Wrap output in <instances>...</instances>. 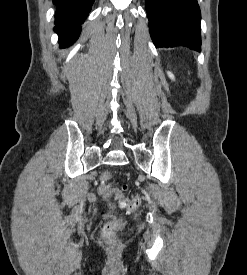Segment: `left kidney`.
<instances>
[{
    "mask_svg": "<svg viewBox=\"0 0 247 275\" xmlns=\"http://www.w3.org/2000/svg\"><path fill=\"white\" fill-rule=\"evenodd\" d=\"M170 79L174 80V75L171 72H167Z\"/></svg>",
    "mask_w": 247,
    "mask_h": 275,
    "instance_id": "5707ae66",
    "label": "left kidney"
}]
</instances>
